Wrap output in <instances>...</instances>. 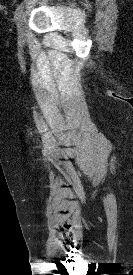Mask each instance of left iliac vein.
I'll return each instance as SVG.
<instances>
[{"instance_id":"obj_1","label":"left iliac vein","mask_w":133,"mask_h":275,"mask_svg":"<svg viewBox=\"0 0 133 275\" xmlns=\"http://www.w3.org/2000/svg\"><path fill=\"white\" fill-rule=\"evenodd\" d=\"M16 26L19 34V39L23 41L25 39V13L23 11L16 18Z\"/></svg>"}]
</instances>
